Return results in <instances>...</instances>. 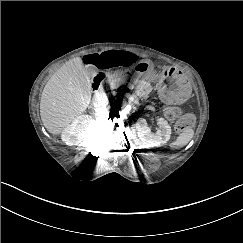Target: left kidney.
Segmentation results:
<instances>
[{"label":"left kidney","mask_w":243,"mask_h":243,"mask_svg":"<svg viewBox=\"0 0 243 243\" xmlns=\"http://www.w3.org/2000/svg\"><path fill=\"white\" fill-rule=\"evenodd\" d=\"M157 123L160 127L156 133H152L145 119L136 123L138 137L147 147H160L167 143L171 136V127L164 118H159Z\"/></svg>","instance_id":"obj_1"}]
</instances>
